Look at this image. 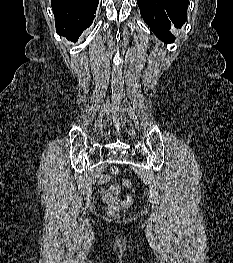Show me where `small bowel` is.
Here are the masks:
<instances>
[{
    "mask_svg": "<svg viewBox=\"0 0 233 263\" xmlns=\"http://www.w3.org/2000/svg\"><path fill=\"white\" fill-rule=\"evenodd\" d=\"M109 182V175L104 174L100 176L98 180V194L105 203L109 205L118 204L120 200L118 199L117 194L120 192V187L117 184L109 185Z\"/></svg>",
    "mask_w": 233,
    "mask_h": 263,
    "instance_id": "small-bowel-1",
    "label": "small bowel"
}]
</instances>
